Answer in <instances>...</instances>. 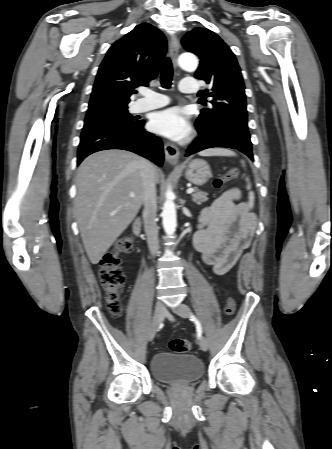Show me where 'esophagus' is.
<instances>
[{"mask_svg": "<svg viewBox=\"0 0 332 449\" xmlns=\"http://www.w3.org/2000/svg\"><path fill=\"white\" fill-rule=\"evenodd\" d=\"M179 52V41L176 36H172L169 41V55L174 67H177V57ZM166 160L175 165L179 158V150L176 146L166 143L164 146Z\"/></svg>", "mask_w": 332, "mask_h": 449, "instance_id": "esophagus-1", "label": "esophagus"}]
</instances>
